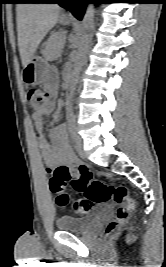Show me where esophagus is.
<instances>
[{
	"label": "esophagus",
	"mask_w": 166,
	"mask_h": 267,
	"mask_svg": "<svg viewBox=\"0 0 166 267\" xmlns=\"http://www.w3.org/2000/svg\"><path fill=\"white\" fill-rule=\"evenodd\" d=\"M65 15L72 17V14L70 12L66 13Z\"/></svg>",
	"instance_id": "obj_1"
}]
</instances>
